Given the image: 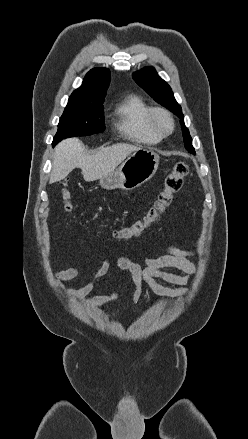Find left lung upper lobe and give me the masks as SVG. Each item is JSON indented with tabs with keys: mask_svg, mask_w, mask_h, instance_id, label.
<instances>
[{
	"mask_svg": "<svg viewBox=\"0 0 248 439\" xmlns=\"http://www.w3.org/2000/svg\"><path fill=\"white\" fill-rule=\"evenodd\" d=\"M133 79L156 102L180 118L185 148L195 154L189 130L184 125V115L182 114L181 106L176 102L170 86L157 75L153 67H145L133 73Z\"/></svg>",
	"mask_w": 248,
	"mask_h": 439,
	"instance_id": "1",
	"label": "left lung upper lobe"
}]
</instances>
